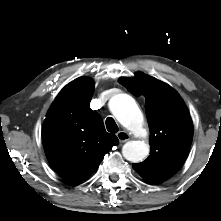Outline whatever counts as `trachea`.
<instances>
[{
	"instance_id": "obj_1",
	"label": "trachea",
	"mask_w": 221,
	"mask_h": 221,
	"mask_svg": "<svg viewBox=\"0 0 221 221\" xmlns=\"http://www.w3.org/2000/svg\"><path fill=\"white\" fill-rule=\"evenodd\" d=\"M106 128L111 133H117L119 130L115 120L112 117H108L106 119Z\"/></svg>"
}]
</instances>
